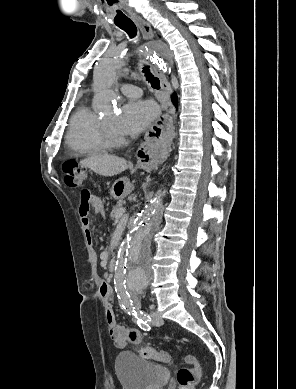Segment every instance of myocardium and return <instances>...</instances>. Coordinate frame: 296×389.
Wrapping results in <instances>:
<instances>
[{
  "label": "myocardium",
  "mask_w": 296,
  "mask_h": 389,
  "mask_svg": "<svg viewBox=\"0 0 296 389\" xmlns=\"http://www.w3.org/2000/svg\"><path fill=\"white\" fill-rule=\"evenodd\" d=\"M100 128L102 139L107 148L117 147L124 142V138L113 130L104 119H101Z\"/></svg>",
  "instance_id": "myocardium-1"
}]
</instances>
